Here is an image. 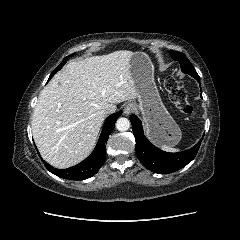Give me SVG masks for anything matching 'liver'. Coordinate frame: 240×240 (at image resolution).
I'll list each match as a JSON object with an SVG mask.
<instances>
[{"instance_id": "6515ba94", "label": "liver", "mask_w": 240, "mask_h": 240, "mask_svg": "<svg viewBox=\"0 0 240 240\" xmlns=\"http://www.w3.org/2000/svg\"><path fill=\"white\" fill-rule=\"evenodd\" d=\"M133 52L115 51L67 64L41 91L32 133L45 161L68 168L92 151L106 114L138 98L129 70ZM111 112V113H113Z\"/></svg>"}]
</instances>
